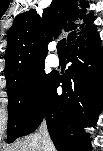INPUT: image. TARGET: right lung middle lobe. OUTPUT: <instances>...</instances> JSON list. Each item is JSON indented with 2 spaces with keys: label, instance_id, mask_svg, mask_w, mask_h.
Listing matches in <instances>:
<instances>
[{
  "label": "right lung middle lobe",
  "instance_id": "1",
  "mask_svg": "<svg viewBox=\"0 0 103 151\" xmlns=\"http://www.w3.org/2000/svg\"><path fill=\"white\" fill-rule=\"evenodd\" d=\"M55 74H45L44 63L25 70L7 87L8 143L22 136L41 107Z\"/></svg>",
  "mask_w": 103,
  "mask_h": 151
}]
</instances>
